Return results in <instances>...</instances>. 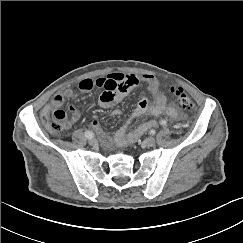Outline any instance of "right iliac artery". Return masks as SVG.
<instances>
[{"instance_id": "obj_1", "label": "right iliac artery", "mask_w": 243, "mask_h": 243, "mask_svg": "<svg viewBox=\"0 0 243 243\" xmlns=\"http://www.w3.org/2000/svg\"><path fill=\"white\" fill-rule=\"evenodd\" d=\"M85 136H86L87 138H92V137H93V133H92L91 131H86V132H85Z\"/></svg>"}]
</instances>
